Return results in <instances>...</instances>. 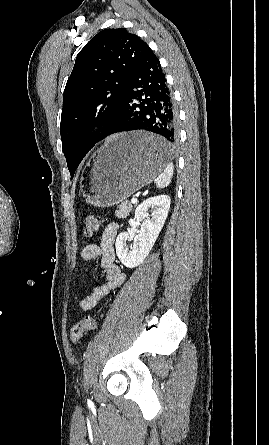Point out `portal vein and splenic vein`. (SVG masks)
I'll list each match as a JSON object with an SVG mask.
<instances>
[{
  "label": "portal vein and splenic vein",
  "mask_w": 269,
  "mask_h": 445,
  "mask_svg": "<svg viewBox=\"0 0 269 445\" xmlns=\"http://www.w3.org/2000/svg\"><path fill=\"white\" fill-rule=\"evenodd\" d=\"M131 203H132V204H136V203H137V199H136L135 197H133V198L131 199Z\"/></svg>",
  "instance_id": "1"
}]
</instances>
